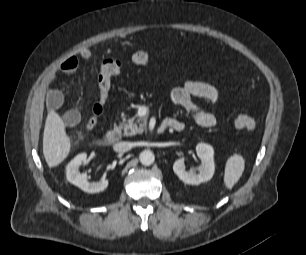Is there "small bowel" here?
I'll use <instances>...</instances> for the list:
<instances>
[{"label":"small bowel","instance_id":"1","mask_svg":"<svg viewBox=\"0 0 306 255\" xmlns=\"http://www.w3.org/2000/svg\"><path fill=\"white\" fill-rule=\"evenodd\" d=\"M79 56L83 60L91 58L92 53L89 49H82ZM79 67V60L76 56L65 58L57 71L51 72L45 79V85L48 88L47 105L51 110L58 109L63 102L62 93L55 87L57 82V72L65 74L74 73ZM202 98L208 100L214 105L219 102V92L211 84L203 81L186 79L182 85L173 89L170 93V100L173 104L183 108L196 124L204 128H212L217 124V119L214 114L200 108L195 102L194 98ZM63 122L67 126H74L80 121V113L77 110L67 111L63 117ZM176 122L180 125L179 129L173 130L180 131L184 128V123L175 118L167 119Z\"/></svg>","mask_w":306,"mask_h":255}]
</instances>
